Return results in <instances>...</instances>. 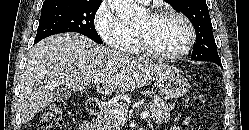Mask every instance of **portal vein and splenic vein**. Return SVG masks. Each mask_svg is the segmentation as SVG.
<instances>
[{
    "mask_svg": "<svg viewBox=\"0 0 249 130\" xmlns=\"http://www.w3.org/2000/svg\"><path fill=\"white\" fill-rule=\"evenodd\" d=\"M96 85H100L101 84V80L100 79H96L93 81ZM113 114L121 121V122H125L127 120L126 118V113L115 108L113 109ZM150 117V112L149 111H145V112H142L140 114V118H149Z\"/></svg>",
    "mask_w": 249,
    "mask_h": 130,
    "instance_id": "1",
    "label": "portal vein and splenic vein"
}]
</instances>
